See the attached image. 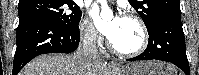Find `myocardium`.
<instances>
[{"instance_id":"f54148a6","label":"myocardium","mask_w":199,"mask_h":75,"mask_svg":"<svg viewBox=\"0 0 199 75\" xmlns=\"http://www.w3.org/2000/svg\"><path fill=\"white\" fill-rule=\"evenodd\" d=\"M125 19L133 21L137 24V26L139 27L140 31H141V44L140 46L135 49V50H123L118 48L117 46H115L111 40H108V46L109 48L120 55L123 56H128V57H134V56H138L141 53H143L146 48L148 47V43H149V34H148V29L144 23V21L137 15L135 14H126L124 16Z\"/></svg>"}]
</instances>
